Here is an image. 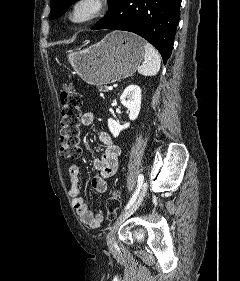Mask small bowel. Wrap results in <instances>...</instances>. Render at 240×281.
I'll return each instance as SVG.
<instances>
[{
	"label": "small bowel",
	"mask_w": 240,
	"mask_h": 281,
	"mask_svg": "<svg viewBox=\"0 0 240 281\" xmlns=\"http://www.w3.org/2000/svg\"><path fill=\"white\" fill-rule=\"evenodd\" d=\"M93 122L94 114L92 112L82 114L81 123L83 126H90ZM98 138L103 149L101 157L94 160V168L98 174L92 179L91 186L95 192L105 193L108 188L107 181L118 169V158L121 150L107 132L100 131ZM68 172L71 184L69 195L77 214L85 225L93 229L98 228L102 223L103 215L102 213L95 214L90 210L88 203L81 196L79 188L81 170L79 166L71 165Z\"/></svg>",
	"instance_id": "obj_1"
}]
</instances>
